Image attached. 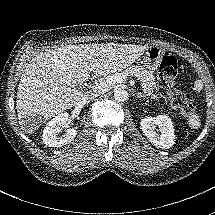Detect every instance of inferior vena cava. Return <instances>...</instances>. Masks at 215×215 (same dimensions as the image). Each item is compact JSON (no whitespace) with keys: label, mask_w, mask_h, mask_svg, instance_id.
<instances>
[{"label":"inferior vena cava","mask_w":215,"mask_h":215,"mask_svg":"<svg viewBox=\"0 0 215 215\" xmlns=\"http://www.w3.org/2000/svg\"><path fill=\"white\" fill-rule=\"evenodd\" d=\"M105 90L104 89H92L90 91L84 92L83 96L81 98V102L83 104H86L88 101H90L92 98L98 97L100 96L102 93H104Z\"/></svg>","instance_id":"1"}]
</instances>
